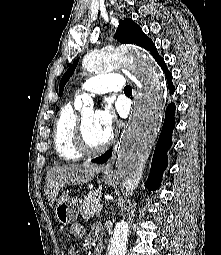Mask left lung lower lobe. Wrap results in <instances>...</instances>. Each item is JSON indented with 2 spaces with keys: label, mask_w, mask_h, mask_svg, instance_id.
Instances as JSON below:
<instances>
[{
  "label": "left lung lower lobe",
  "mask_w": 221,
  "mask_h": 255,
  "mask_svg": "<svg viewBox=\"0 0 221 255\" xmlns=\"http://www.w3.org/2000/svg\"><path fill=\"white\" fill-rule=\"evenodd\" d=\"M152 56L165 72V75L168 80V88L170 89V93L173 94L174 86L171 83L172 75L168 71L165 65L164 59L160 57L157 51L152 53ZM174 111H175L174 103L169 104L166 110L162 131L154 151L149 179L146 183V187L149 190L158 189L161 183L162 172L167 166V151L171 147L172 131L175 127ZM111 155H112V149L108 150L106 153H104L100 157L93 159L92 162L103 164L110 158Z\"/></svg>",
  "instance_id": "1"
}]
</instances>
